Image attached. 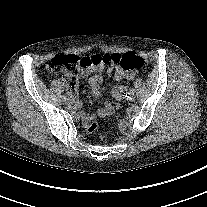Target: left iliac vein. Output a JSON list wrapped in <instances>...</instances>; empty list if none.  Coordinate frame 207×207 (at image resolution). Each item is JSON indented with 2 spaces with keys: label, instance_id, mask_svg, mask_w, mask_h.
I'll list each match as a JSON object with an SVG mask.
<instances>
[{
  "label": "left iliac vein",
  "instance_id": "4c4485c4",
  "mask_svg": "<svg viewBox=\"0 0 207 207\" xmlns=\"http://www.w3.org/2000/svg\"><path fill=\"white\" fill-rule=\"evenodd\" d=\"M126 101H127L128 103H133V102L135 101V95H133V96L128 95V96L126 97Z\"/></svg>",
  "mask_w": 207,
  "mask_h": 207
}]
</instances>
